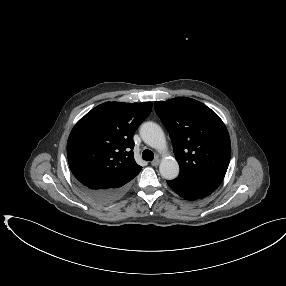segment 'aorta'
<instances>
[{"mask_svg": "<svg viewBox=\"0 0 286 286\" xmlns=\"http://www.w3.org/2000/svg\"><path fill=\"white\" fill-rule=\"evenodd\" d=\"M140 135L143 141L150 147L163 152L167 148L165 134L162 128L154 122H145L140 127ZM159 171L167 180L175 179L179 174V164L172 157H163L159 165Z\"/></svg>", "mask_w": 286, "mask_h": 286, "instance_id": "762f6f07", "label": "aorta"}]
</instances>
